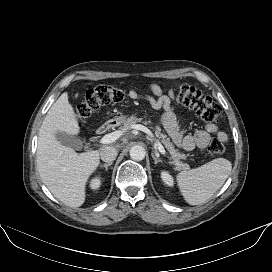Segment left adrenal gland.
I'll return each instance as SVG.
<instances>
[{
    "label": "left adrenal gland",
    "mask_w": 272,
    "mask_h": 272,
    "mask_svg": "<svg viewBox=\"0 0 272 272\" xmlns=\"http://www.w3.org/2000/svg\"><path fill=\"white\" fill-rule=\"evenodd\" d=\"M152 158L154 160L155 165H157L158 163H162V160L159 159L157 156H155L153 153H152Z\"/></svg>",
    "instance_id": "obj_1"
}]
</instances>
